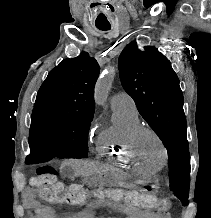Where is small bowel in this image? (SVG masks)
I'll use <instances>...</instances> for the list:
<instances>
[{
    "instance_id": "1",
    "label": "small bowel",
    "mask_w": 211,
    "mask_h": 218,
    "mask_svg": "<svg viewBox=\"0 0 211 218\" xmlns=\"http://www.w3.org/2000/svg\"><path fill=\"white\" fill-rule=\"evenodd\" d=\"M23 199H24V203L27 206L35 208L42 213H48L51 211L50 208L38 203V201L36 200V190L32 187H28L24 190ZM89 206L92 208L109 207V208L117 209V210L124 211L127 213H137L138 212V210L135 208L126 206L121 203H116V202L107 201V200H94V201L89 202ZM149 217H152V216H149Z\"/></svg>"
}]
</instances>
